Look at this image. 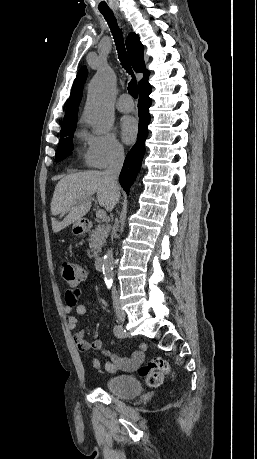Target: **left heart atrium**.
<instances>
[{
  "label": "left heart atrium",
  "mask_w": 257,
  "mask_h": 459,
  "mask_svg": "<svg viewBox=\"0 0 257 459\" xmlns=\"http://www.w3.org/2000/svg\"><path fill=\"white\" fill-rule=\"evenodd\" d=\"M121 136L124 142L132 143L138 133V124L132 117H124L121 120Z\"/></svg>",
  "instance_id": "1"
}]
</instances>
